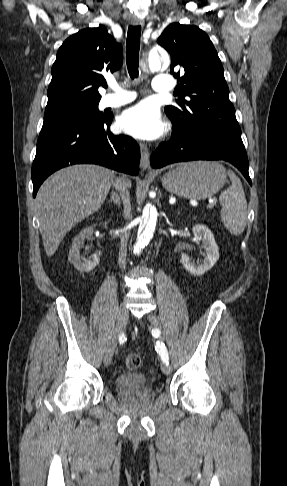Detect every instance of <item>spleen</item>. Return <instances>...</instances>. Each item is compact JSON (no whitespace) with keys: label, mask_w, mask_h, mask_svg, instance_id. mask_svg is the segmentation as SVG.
<instances>
[{"label":"spleen","mask_w":287,"mask_h":486,"mask_svg":"<svg viewBox=\"0 0 287 486\" xmlns=\"http://www.w3.org/2000/svg\"><path fill=\"white\" fill-rule=\"evenodd\" d=\"M228 175L231 185L220 194V215L228 231L237 236L244 231L247 224V200L241 180L231 171Z\"/></svg>","instance_id":"spleen-1"}]
</instances>
